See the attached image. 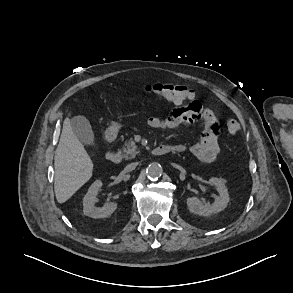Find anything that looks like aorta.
Instances as JSON below:
<instances>
[{
	"label": "aorta",
	"instance_id": "1",
	"mask_svg": "<svg viewBox=\"0 0 293 293\" xmlns=\"http://www.w3.org/2000/svg\"><path fill=\"white\" fill-rule=\"evenodd\" d=\"M162 173V166L157 162L149 164L146 168V174L149 179H158L159 177H161Z\"/></svg>",
	"mask_w": 293,
	"mask_h": 293
}]
</instances>
